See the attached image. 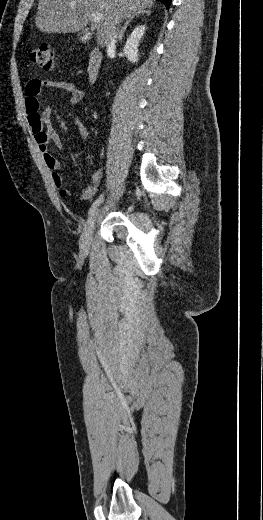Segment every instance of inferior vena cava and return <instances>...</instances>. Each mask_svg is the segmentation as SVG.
Returning a JSON list of instances; mask_svg holds the SVG:
<instances>
[{
  "label": "inferior vena cava",
  "instance_id": "1",
  "mask_svg": "<svg viewBox=\"0 0 263 520\" xmlns=\"http://www.w3.org/2000/svg\"><path fill=\"white\" fill-rule=\"evenodd\" d=\"M120 21H116L115 28L112 31V35L110 36L109 42H108V49H114L116 44V39L118 37V27L116 28L117 24H119Z\"/></svg>",
  "mask_w": 263,
  "mask_h": 520
}]
</instances>
